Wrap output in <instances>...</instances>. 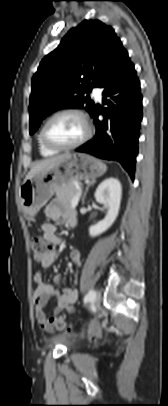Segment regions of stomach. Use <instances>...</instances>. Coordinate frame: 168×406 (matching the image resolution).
<instances>
[{
  "instance_id": "obj_1",
  "label": "stomach",
  "mask_w": 168,
  "mask_h": 406,
  "mask_svg": "<svg viewBox=\"0 0 168 406\" xmlns=\"http://www.w3.org/2000/svg\"><path fill=\"white\" fill-rule=\"evenodd\" d=\"M106 170L105 164L90 155L69 154L55 167L24 180L19 191L22 210L26 215L34 216L48 202L56 189L74 181L95 179L102 176Z\"/></svg>"
}]
</instances>
